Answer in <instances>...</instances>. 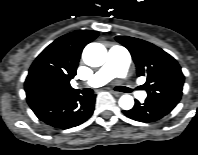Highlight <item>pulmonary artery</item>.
Here are the masks:
<instances>
[{"instance_id":"obj_1","label":"pulmonary artery","mask_w":198,"mask_h":155,"mask_svg":"<svg viewBox=\"0 0 198 155\" xmlns=\"http://www.w3.org/2000/svg\"><path fill=\"white\" fill-rule=\"evenodd\" d=\"M129 65L130 56L127 51L121 47H112L108 52L105 64L90 77L85 85L99 87L115 77L126 78ZM126 85L129 87L131 93L139 100L143 101L146 98V93L139 90L131 81L127 80Z\"/></svg>"}]
</instances>
